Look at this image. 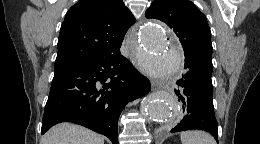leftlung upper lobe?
Returning <instances> with one entry per match:
<instances>
[{
	"instance_id": "5c2ea615",
	"label": "left lung upper lobe",
	"mask_w": 260,
	"mask_h": 144,
	"mask_svg": "<svg viewBox=\"0 0 260 144\" xmlns=\"http://www.w3.org/2000/svg\"><path fill=\"white\" fill-rule=\"evenodd\" d=\"M147 18L165 22L177 35L184 49L185 62L213 70L211 31L205 15L188 0H154Z\"/></svg>"
}]
</instances>
